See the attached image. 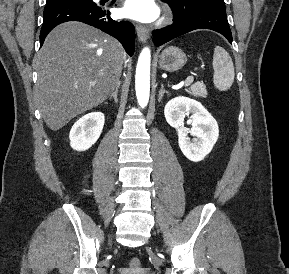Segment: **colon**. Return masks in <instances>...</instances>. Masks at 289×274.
Returning <instances> with one entry per match:
<instances>
[{
  "mask_svg": "<svg viewBox=\"0 0 289 274\" xmlns=\"http://www.w3.org/2000/svg\"><path fill=\"white\" fill-rule=\"evenodd\" d=\"M140 269V261L137 258H133L129 261L127 271H137Z\"/></svg>",
  "mask_w": 289,
  "mask_h": 274,
  "instance_id": "colon-1",
  "label": "colon"
}]
</instances>
